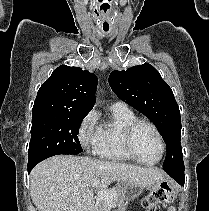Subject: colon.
I'll return each mask as SVG.
<instances>
[{"instance_id": "obj_1", "label": "colon", "mask_w": 209, "mask_h": 211, "mask_svg": "<svg viewBox=\"0 0 209 211\" xmlns=\"http://www.w3.org/2000/svg\"><path fill=\"white\" fill-rule=\"evenodd\" d=\"M169 186L162 185L157 188L155 191L151 192L144 200L143 204L146 206H152L162 201H166L169 198Z\"/></svg>"}]
</instances>
